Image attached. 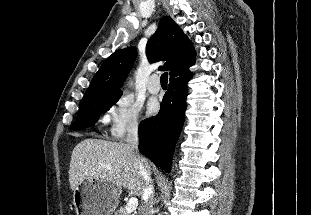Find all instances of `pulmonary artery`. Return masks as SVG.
Listing matches in <instances>:
<instances>
[{
    "label": "pulmonary artery",
    "instance_id": "pulmonary-artery-1",
    "mask_svg": "<svg viewBox=\"0 0 311 215\" xmlns=\"http://www.w3.org/2000/svg\"><path fill=\"white\" fill-rule=\"evenodd\" d=\"M147 88L151 94L159 93L160 85H159V78L157 75H153L150 77Z\"/></svg>",
    "mask_w": 311,
    "mask_h": 215
}]
</instances>
